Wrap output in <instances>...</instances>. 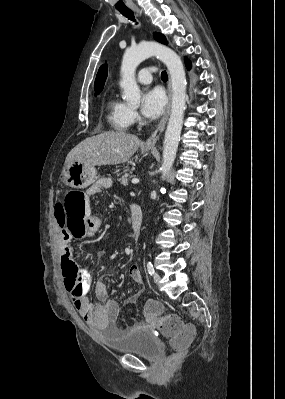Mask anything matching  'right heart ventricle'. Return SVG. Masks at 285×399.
<instances>
[{
    "label": "right heart ventricle",
    "mask_w": 285,
    "mask_h": 399,
    "mask_svg": "<svg viewBox=\"0 0 285 399\" xmlns=\"http://www.w3.org/2000/svg\"><path fill=\"white\" fill-rule=\"evenodd\" d=\"M130 108L116 97L107 102V119L109 124L118 131H126L130 125Z\"/></svg>",
    "instance_id": "obj_1"
}]
</instances>
